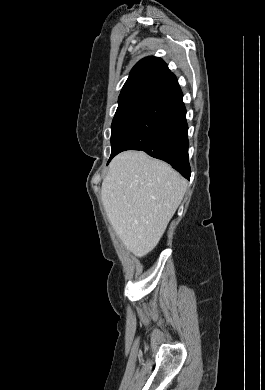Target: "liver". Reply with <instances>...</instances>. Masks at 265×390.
I'll use <instances>...</instances> for the list:
<instances>
[{"label":"liver","instance_id":"1","mask_svg":"<svg viewBox=\"0 0 265 390\" xmlns=\"http://www.w3.org/2000/svg\"><path fill=\"white\" fill-rule=\"evenodd\" d=\"M187 181L167 163L142 151L118 154L101 188L109 222L136 257L151 252L180 205Z\"/></svg>","mask_w":265,"mask_h":390}]
</instances>
